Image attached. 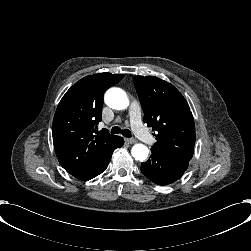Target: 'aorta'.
<instances>
[{
	"mask_svg": "<svg viewBox=\"0 0 251 251\" xmlns=\"http://www.w3.org/2000/svg\"><path fill=\"white\" fill-rule=\"evenodd\" d=\"M106 104L115 110H126L130 105V100L124 90L111 88L105 94ZM149 149L142 143L132 146L131 155L136 161H144L148 157Z\"/></svg>",
	"mask_w": 251,
	"mask_h": 251,
	"instance_id": "1",
	"label": "aorta"
}]
</instances>
